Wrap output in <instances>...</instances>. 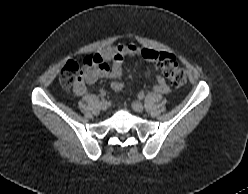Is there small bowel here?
I'll return each instance as SVG.
<instances>
[{
    "instance_id": "c3829d8e",
    "label": "small bowel",
    "mask_w": 248,
    "mask_h": 194,
    "mask_svg": "<svg viewBox=\"0 0 248 194\" xmlns=\"http://www.w3.org/2000/svg\"><path fill=\"white\" fill-rule=\"evenodd\" d=\"M156 52L151 49H143L134 44H118L109 46L92 55V63L84 64L80 80L74 86L75 94H86L87 84H93L98 78L115 79L121 76L122 66L126 57L140 55L147 61H153ZM154 91L167 94L170 91L165 78L156 76Z\"/></svg>"
}]
</instances>
